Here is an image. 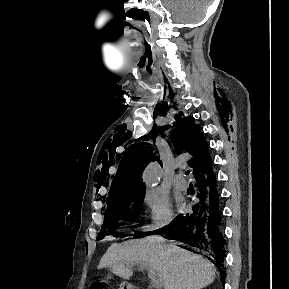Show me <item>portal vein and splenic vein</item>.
<instances>
[{
  "label": "portal vein and splenic vein",
  "mask_w": 289,
  "mask_h": 289,
  "mask_svg": "<svg viewBox=\"0 0 289 289\" xmlns=\"http://www.w3.org/2000/svg\"><path fill=\"white\" fill-rule=\"evenodd\" d=\"M141 267L142 268H146L148 270V274H149V277L151 278V281H152V283L154 285V288L155 289H160V287L162 286V282L158 278L156 272L153 269L147 267L146 265H142Z\"/></svg>",
  "instance_id": "1"
}]
</instances>
